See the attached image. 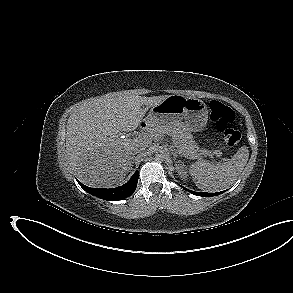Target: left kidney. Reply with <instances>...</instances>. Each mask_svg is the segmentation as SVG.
I'll return each instance as SVG.
<instances>
[{
  "instance_id": "left-kidney-1",
  "label": "left kidney",
  "mask_w": 293,
  "mask_h": 293,
  "mask_svg": "<svg viewBox=\"0 0 293 293\" xmlns=\"http://www.w3.org/2000/svg\"><path fill=\"white\" fill-rule=\"evenodd\" d=\"M175 166H176V171H177L178 175L182 179H186L187 178V171H186L187 167L184 164V162H178V164H176Z\"/></svg>"
}]
</instances>
